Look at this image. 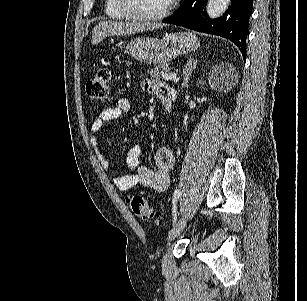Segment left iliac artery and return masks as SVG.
Here are the masks:
<instances>
[{
  "label": "left iliac artery",
  "mask_w": 307,
  "mask_h": 301,
  "mask_svg": "<svg viewBox=\"0 0 307 301\" xmlns=\"http://www.w3.org/2000/svg\"><path fill=\"white\" fill-rule=\"evenodd\" d=\"M181 195V190L180 189H175L174 193H173V200H172V203H173V213H174V217H173V223L176 222V219H177V216H176V204L178 202V199Z\"/></svg>",
  "instance_id": "1"
}]
</instances>
